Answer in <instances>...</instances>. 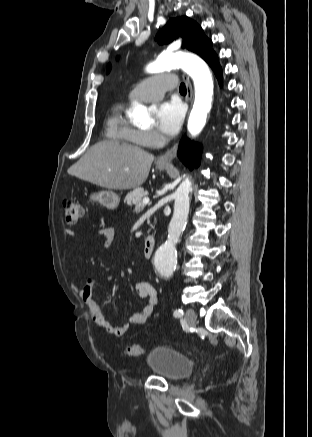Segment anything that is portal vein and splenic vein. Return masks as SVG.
<instances>
[{"label": "portal vein and splenic vein", "mask_w": 312, "mask_h": 437, "mask_svg": "<svg viewBox=\"0 0 312 437\" xmlns=\"http://www.w3.org/2000/svg\"><path fill=\"white\" fill-rule=\"evenodd\" d=\"M148 203H149V198H148V197H144V199H143V205L136 206V207H135V210H136V211L141 210V209L144 207V205H146V204H148Z\"/></svg>", "instance_id": "1"}]
</instances>
